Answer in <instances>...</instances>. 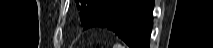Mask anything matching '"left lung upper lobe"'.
I'll use <instances>...</instances> for the list:
<instances>
[{
  "label": "left lung upper lobe",
  "instance_id": "5c2ea615",
  "mask_svg": "<svg viewBox=\"0 0 213 48\" xmlns=\"http://www.w3.org/2000/svg\"><path fill=\"white\" fill-rule=\"evenodd\" d=\"M80 11L81 24L84 26L88 20L106 3L111 0H75Z\"/></svg>",
  "mask_w": 213,
  "mask_h": 48
}]
</instances>
